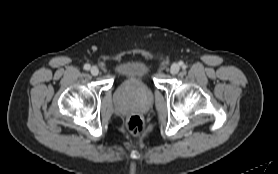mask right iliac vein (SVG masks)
I'll list each match as a JSON object with an SVG mask.
<instances>
[{
    "label": "right iliac vein",
    "mask_w": 278,
    "mask_h": 174,
    "mask_svg": "<svg viewBox=\"0 0 278 174\" xmlns=\"http://www.w3.org/2000/svg\"><path fill=\"white\" fill-rule=\"evenodd\" d=\"M90 72L93 76L98 75L99 69L96 66L91 67Z\"/></svg>",
    "instance_id": "obj_1"
}]
</instances>
